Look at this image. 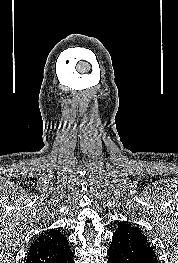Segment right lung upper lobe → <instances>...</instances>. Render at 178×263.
Masks as SVG:
<instances>
[{"label": "right lung upper lobe", "mask_w": 178, "mask_h": 263, "mask_svg": "<svg viewBox=\"0 0 178 263\" xmlns=\"http://www.w3.org/2000/svg\"><path fill=\"white\" fill-rule=\"evenodd\" d=\"M69 251L68 241L59 230H47L33 241L24 263H52Z\"/></svg>", "instance_id": "right-lung-upper-lobe-1"}]
</instances>
